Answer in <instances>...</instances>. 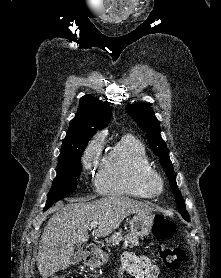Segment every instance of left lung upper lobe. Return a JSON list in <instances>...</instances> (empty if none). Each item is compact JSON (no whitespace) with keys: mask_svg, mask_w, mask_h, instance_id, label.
Segmentation results:
<instances>
[{"mask_svg":"<svg viewBox=\"0 0 221 278\" xmlns=\"http://www.w3.org/2000/svg\"><path fill=\"white\" fill-rule=\"evenodd\" d=\"M128 114L137 122L139 127L146 133V138L151 149L160 158V163L163 166L166 175L169 177V183L174 193L176 202L178 203L179 212L185 220H189V214L185 207V202L176 184V176L169 158V151L165 141L160 135V124L154 115L150 104L139 103L127 105Z\"/></svg>","mask_w":221,"mask_h":278,"instance_id":"obj_1","label":"left lung upper lobe"}]
</instances>
